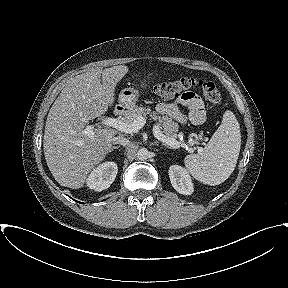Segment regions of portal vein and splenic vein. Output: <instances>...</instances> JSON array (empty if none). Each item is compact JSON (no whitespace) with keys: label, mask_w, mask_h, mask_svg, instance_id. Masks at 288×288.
<instances>
[{"label":"portal vein and splenic vein","mask_w":288,"mask_h":288,"mask_svg":"<svg viewBox=\"0 0 288 288\" xmlns=\"http://www.w3.org/2000/svg\"><path fill=\"white\" fill-rule=\"evenodd\" d=\"M100 124L103 126H109V127L116 128L119 131L124 132V133L131 134V133H136V132H138V130L143 128V126L146 124V119L144 117L140 116V117H137L136 119H134L133 122L127 123V122H123L122 120H119L117 118L106 117V118L102 119ZM93 129H94L93 125H87L85 130H84V133L89 135L91 138H93L94 137ZM153 134L158 140L166 143L167 145L171 146L172 148L178 149L180 147H183V148H186L189 152H193L192 148H188V146L186 144H182L181 142L164 135L161 132L158 125H154ZM198 151H202V149L198 148Z\"/></svg>","instance_id":"obj_1"}]
</instances>
